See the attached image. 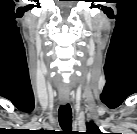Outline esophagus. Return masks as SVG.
I'll return each mask as SVG.
<instances>
[{"label":"esophagus","instance_id":"1","mask_svg":"<svg viewBox=\"0 0 137 134\" xmlns=\"http://www.w3.org/2000/svg\"><path fill=\"white\" fill-rule=\"evenodd\" d=\"M60 102H61V104H63V105H65V104H67L68 102H69V96H65V95H63V96H60Z\"/></svg>","mask_w":137,"mask_h":134}]
</instances>
